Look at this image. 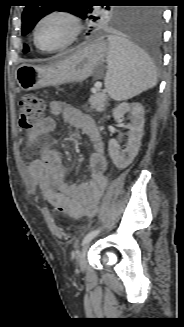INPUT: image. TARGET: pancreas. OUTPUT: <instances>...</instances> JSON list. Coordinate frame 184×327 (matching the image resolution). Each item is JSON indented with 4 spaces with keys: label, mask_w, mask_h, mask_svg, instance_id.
Returning <instances> with one entry per match:
<instances>
[{
    "label": "pancreas",
    "mask_w": 184,
    "mask_h": 327,
    "mask_svg": "<svg viewBox=\"0 0 184 327\" xmlns=\"http://www.w3.org/2000/svg\"><path fill=\"white\" fill-rule=\"evenodd\" d=\"M107 102V95L105 92L97 90L93 92V95L89 98L90 109L96 110L97 112H102L105 109V105Z\"/></svg>",
    "instance_id": "1"
}]
</instances>
